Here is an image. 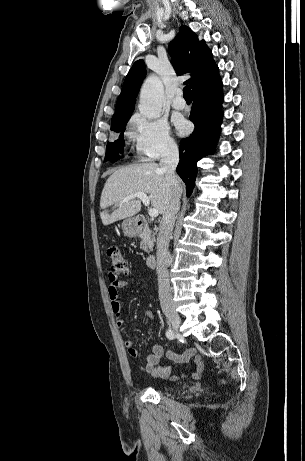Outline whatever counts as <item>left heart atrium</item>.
<instances>
[{"label":"left heart atrium","instance_id":"1","mask_svg":"<svg viewBox=\"0 0 305 461\" xmlns=\"http://www.w3.org/2000/svg\"><path fill=\"white\" fill-rule=\"evenodd\" d=\"M175 125L180 134L186 133L188 129V124L184 119H181V118L177 119L175 122Z\"/></svg>","mask_w":305,"mask_h":461}]
</instances>
